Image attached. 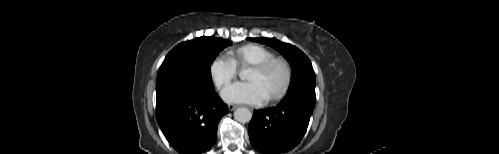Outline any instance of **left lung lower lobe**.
<instances>
[{
    "label": "left lung lower lobe",
    "instance_id": "1",
    "mask_svg": "<svg viewBox=\"0 0 499 154\" xmlns=\"http://www.w3.org/2000/svg\"><path fill=\"white\" fill-rule=\"evenodd\" d=\"M315 101V88H296L278 106L254 111L249 124L252 146L264 154L293 149L306 132Z\"/></svg>",
    "mask_w": 499,
    "mask_h": 154
}]
</instances>
